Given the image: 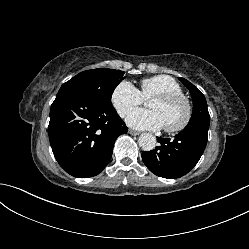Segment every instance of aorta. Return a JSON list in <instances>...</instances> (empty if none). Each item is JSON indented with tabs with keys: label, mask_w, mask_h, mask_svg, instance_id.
I'll list each match as a JSON object with an SVG mask.
<instances>
[{
	"label": "aorta",
	"mask_w": 249,
	"mask_h": 249,
	"mask_svg": "<svg viewBox=\"0 0 249 249\" xmlns=\"http://www.w3.org/2000/svg\"><path fill=\"white\" fill-rule=\"evenodd\" d=\"M139 146L144 151H151L156 146V137L150 133H143L140 135L138 140Z\"/></svg>",
	"instance_id": "762f6f07"
}]
</instances>
